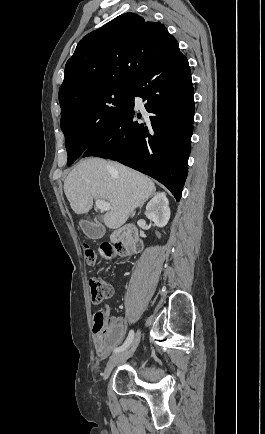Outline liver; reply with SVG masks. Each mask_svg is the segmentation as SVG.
Instances as JSON below:
<instances>
[{"mask_svg":"<svg viewBox=\"0 0 265 434\" xmlns=\"http://www.w3.org/2000/svg\"><path fill=\"white\" fill-rule=\"evenodd\" d=\"M64 192L75 214H87L93 200H108L111 210L102 220L107 228L116 230L127 222L130 212L156 192V188L150 178L118 162L85 158L68 174Z\"/></svg>","mask_w":265,"mask_h":434,"instance_id":"liver-1","label":"liver"}]
</instances>
